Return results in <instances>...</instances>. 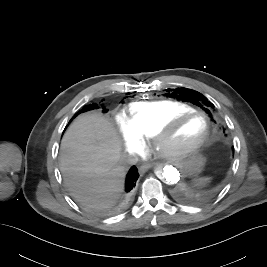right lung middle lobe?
<instances>
[{
    "mask_svg": "<svg viewBox=\"0 0 267 267\" xmlns=\"http://www.w3.org/2000/svg\"><path fill=\"white\" fill-rule=\"evenodd\" d=\"M96 104H91V105H88V106H85L81 111H79L78 113H82V112H85V111H88V110H92V109H96Z\"/></svg>",
    "mask_w": 267,
    "mask_h": 267,
    "instance_id": "obj_1",
    "label": "right lung middle lobe"
}]
</instances>
